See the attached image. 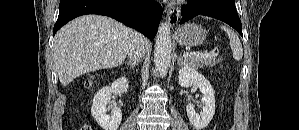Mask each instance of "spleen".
Instances as JSON below:
<instances>
[{"label":"spleen","mask_w":299,"mask_h":130,"mask_svg":"<svg viewBox=\"0 0 299 130\" xmlns=\"http://www.w3.org/2000/svg\"><path fill=\"white\" fill-rule=\"evenodd\" d=\"M221 28L227 33L230 40V47L233 52V58L240 61L243 56V48L238 36L226 26H221Z\"/></svg>","instance_id":"obj_1"}]
</instances>
